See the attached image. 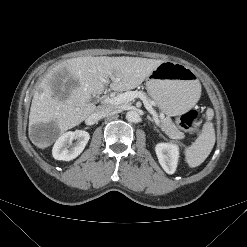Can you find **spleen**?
I'll return each mask as SVG.
<instances>
[{"label": "spleen", "instance_id": "1", "mask_svg": "<svg viewBox=\"0 0 247 247\" xmlns=\"http://www.w3.org/2000/svg\"><path fill=\"white\" fill-rule=\"evenodd\" d=\"M213 111H207V121L205 122L202 133L195 142L185 149L186 162L192 168L202 164L209 156L215 144V130L211 119Z\"/></svg>", "mask_w": 247, "mask_h": 247}]
</instances>
